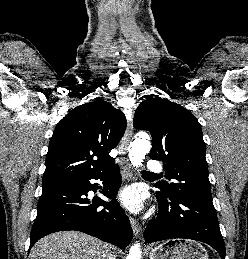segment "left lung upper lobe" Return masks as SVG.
<instances>
[{
  "label": "left lung upper lobe",
  "mask_w": 248,
  "mask_h": 259,
  "mask_svg": "<svg viewBox=\"0 0 248 259\" xmlns=\"http://www.w3.org/2000/svg\"><path fill=\"white\" fill-rule=\"evenodd\" d=\"M133 124L151 133L150 157L162 160L165 177L173 180L158 182L159 193L212 200L202 130L190 111L167 99L148 97L138 106Z\"/></svg>",
  "instance_id": "5c2ea615"
}]
</instances>
